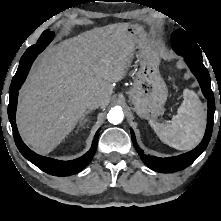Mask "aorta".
<instances>
[{"label": "aorta", "mask_w": 221, "mask_h": 221, "mask_svg": "<svg viewBox=\"0 0 221 221\" xmlns=\"http://www.w3.org/2000/svg\"><path fill=\"white\" fill-rule=\"evenodd\" d=\"M123 118L124 114L120 107H113L107 114L108 121L114 125L121 123Z\"/></svg>", "instance_id": "obj_1"}]
</instances>
